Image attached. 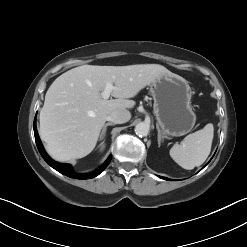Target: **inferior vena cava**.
Segmentation results:
<instances>
[{"mask_svg": "<svg viewBox=\"0 0 247 247\" xmlns=\"http://www.w3.org/2000/svg\"><path fill=\"white\" fill-rule=\"evenodd\" d=\"M131 114L127 109H116L109 113L108 120L115 124H122L129 121Z\"/></svg>", "mask_w": 247, "mask_h": 247, "instance_id": "1", "label": "inferior vena cava"}]
</instances>
